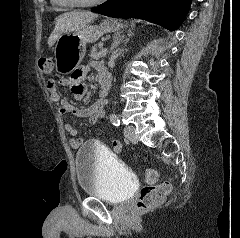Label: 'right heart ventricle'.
I'll list each match as a JSON object with an SVG mask.
<instances>
[{
    "label": "right heart ventricle",
    "mask_w": 240,
    "mask_h": 238,
    "mask_svg": "<svg viewBox=\"0 0 240 238\" xmlns=\"http://www.w3.org/2000/svg\"><path fill=\"white\" fill-rule=\"evenodd\" d=\"M54 5L68 6L65 4V0H51Z\"/></svg>",
    "instance_id": "e07e8e85"
}]
</instances>
